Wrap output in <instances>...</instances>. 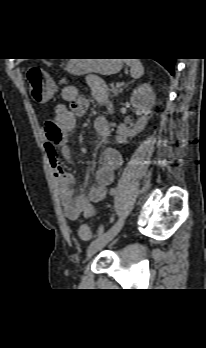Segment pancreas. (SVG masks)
Segmentation results:
<instances>
[{
    "label": "pancreas",
    "mask_w": 206,
    "mask_h": 348,
    "mask_svg": "<svg viewBox=\"0 0 206 348\" xmlns=\"http://www.w3.org/2000/svg\"><path fill=\"white\" fill-rule=\"evenodd\" d=\"M111 91H112L114 96H117L122 92V88L121 87H114V85L111 84Z\"/></svg>",
    "instance_id": "pancreas-1"
}]
</instances>
